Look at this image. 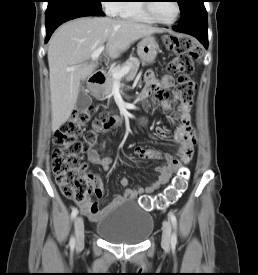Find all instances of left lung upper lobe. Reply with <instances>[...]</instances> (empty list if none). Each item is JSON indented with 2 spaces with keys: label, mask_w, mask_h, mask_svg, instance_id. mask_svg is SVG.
Wrapping results in <instances>:
<instances>
[{
  "label": "left lung upper lobe",
  "mask_w": 258,
  "mask_h": 275,
  "mask_svg": "<svg viewBox=\"0 0 258 275\" xmlns=\"http://www.w3.org/2000/svg\"><path fill=\"white\" fill-rule=\"evenodd\" d=\"M191 0H177L181 13L186 9Z\"/></svg>",
  "instance_id": "5c2ea615"
}]
</instances>
